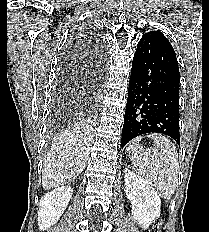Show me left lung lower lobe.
Masks as SVG:
<instances>
[{"mask_svg":"<svg viewBox=\"0 0 209 232\" xmlns=\"http://www.w3.org/2000/svg\"><path fill=\"white\" fill-rule=\"evenodd\" d=\"M179 67L163 40L138 42L133 58L121 147L146 133H161L180 146Z\"/></svg>","mask_w":209,"mask_h":232,"instance_id":"left-lung-lower-lobe-1","label":"left lung lower lobe"}]
</instances>
